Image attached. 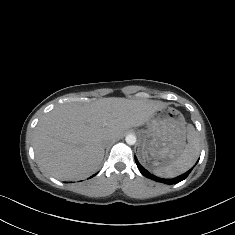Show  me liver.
I'll return each instance as SVG.
<instances>
[{
	"mask_svg": "<svg viewBox=\"0 0 235 235\" xmlns=\"http://www.w3.org/2000/svg\"><path fill=\"white\" fill-rule=\"evenodd\" d=\"M165 103L150 99L104 98L90 105H61L43 116L33 133L41 172L62 181L93 174L104 157L105 141L145 124Z\"/></svg>",
	"mask_w": 235,
	"mask_h": 235,
	"instance_id": "6515ba94",
	"label": "liver"
}]
</instances>
